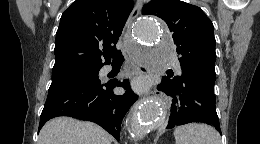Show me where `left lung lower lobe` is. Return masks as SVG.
<instances>
[{
	"label": "left lung lower lobe",
	"instance_id": "1",
	"mask_svg": "<svg viewBox=\"0 0 260 144\" xmlns=\"http://www.w3.org/2000/svg\"><path fill=\"white\" fill-rule=\"evenodd\" d=\"M158 90L170 98V116L167 129L191 122L213 125L220 133L216 113L214 83L187 72L174 78L168 72L158 85Z\"/></svg>",
	"mask_w": 260,
	"mask_h": 144
}]
</instances>
